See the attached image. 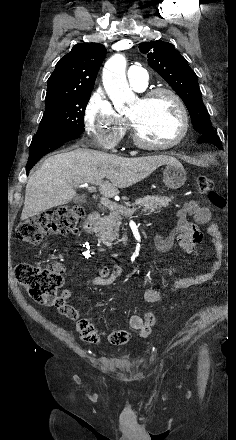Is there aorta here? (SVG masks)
Segmentation results:
<instances>
[{
	"label": "aorta",
	"mask_w": 236,
	"mask_h": 440,
	"mask_svg": "<svg viewBox=\"0 0 236 440\" xmlns=\"http://www.w3.org/2000/svg\"><path fill=\"white\" fill-rule=\"evenodd\" d=\"M103 85L107 95L118 112H123L134 103L135 94L126 79V59L121 54L112 56L104 66Z\"/></svg>",
	"instance_id": "aorta-1"
}]
</instances>
